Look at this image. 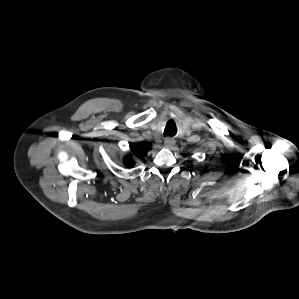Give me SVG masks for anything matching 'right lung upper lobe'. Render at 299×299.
Here are the masks:
<instances>
[{
    "instance_id": "1",
    "label": "right lung upper lobe",
    "mask_w": 299,
    "mask_h": 299,
    "mask_svg": "<svg viewBox=\"0 0 299 299\" xmlns=\"http://www.w3.org/2000/svg\"><path fill=\"white\" fill-rule=\"evenodd\" d=\"M148 150L149 149L141 143L132 147L133 154L136 155L140 159H142L144 157V155H146ZM124 163L129 167H132L134 165V162L129 158H126Z\"/></svg>"
}]
</instances>
